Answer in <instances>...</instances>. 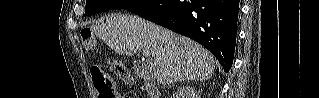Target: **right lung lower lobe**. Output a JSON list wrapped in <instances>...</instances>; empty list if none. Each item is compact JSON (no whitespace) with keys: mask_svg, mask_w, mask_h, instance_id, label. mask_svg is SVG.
I'll return each mask as SVG.
<instances>
[{"mask_svg":"<svg viewBox=\"0 0 319 98\" xmlns=\"http://www.w3.org/2000/svg\"><path fill=\"white\" fill-rule=\"evenodd\" d=\"M205 46L224 71L233 63L239 0H150L130 10Z\"/></svg>","mask_w":319,"mask_h":98,"instance_id":"obj_1","label":"right lung lower lobe"}]
</instances>
